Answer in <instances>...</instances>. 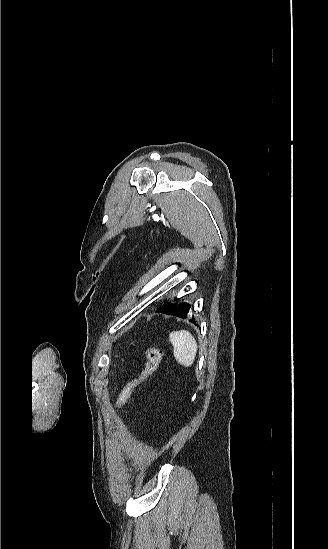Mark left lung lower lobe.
Here are the masks:
<instances>
[{
    "label": "left lung lower lobe",
    "mask_w": 328,
    "mask_h": 549,
    "mask_svg": "<svg viewBox=\"0 0 328 549\" xmlns=\"http://www.w3.org/2000/svg\"><path fill=\"white\" fill-rule=\"evenodd\" d=\"M157 313H164L167 315H175L180 318H186L189 312V305L188 304H180L177 308L173 304L166 303L159 307L156 310ZM191 322L195 323L194 320H190Z\"/></svg>",
    "instance_id": "left-lung-lower-lobe-1"
}]
</instances>
